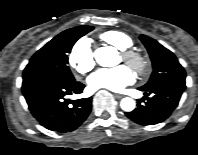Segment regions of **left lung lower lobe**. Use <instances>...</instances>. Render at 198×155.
Instances as JSON below:
<instances>
[{"instance_id":"0a47b994","label":"left lung lower lobe","mask_w":198,"mask_h":155,"mask_svg":"<svg viewBox=\"0 0 198 155\" xmlns=\"http://www.w3.org/2000/svg\"><path fill=\"white\" fill-rule=\"evenodd\" d=\"M185 88L186 86L181 84H162L149 90L139 88L145 92V96L151 95V97L138 100V107L125 114L129 119L141 125L160 123L167 119L177 107ZM145 99L147 101L142 104L141 102Z\"/></svg>"}]
</instances>
